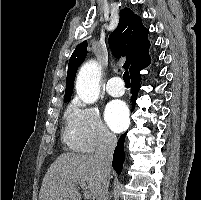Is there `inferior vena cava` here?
Segmentation results:
<instances>
[{"label":"inferior vena cava","instance_id":"602c4592","mask_svg":"<svg viewBox=\"0 0 201 200\" xmlns=\"http://www.w3.org/2000/svg\"><path fill=\"white\" fill-rule=\"evenodd\" d=\"M116 144V136L107 132L101 138L95 153L96 161L101 170V183L98 188L96 200H108L110 166Z\"/></svg>","mask_w":201,"mask_h":200}]
</instances>
